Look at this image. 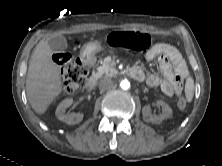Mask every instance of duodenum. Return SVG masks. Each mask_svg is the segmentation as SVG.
Here are the masks:
<instances>
[{
    "label": "duodenum",
    "instance_id": "410a0bca",
    "mask_svg": "<svg viewBox=\"0 0 222 166\" xmlns=\"http://www.w3.org/2000/svg\"><path fill=\"white\" fill-rule=\"evenodd\" d=\"M83 63L85 65H87L88 67H92L94 65V59L91 57V56H84L83 57ZM128 74L134 78V79H137V80H141L143 78V75L141 72H139L138 70H135V69H131L128 71ZM97 81H98V76L96 74H92L88 79H87V82H86V87L87 89L89 90H92L95 88L96 84H97Z\"/></svg>",
    "mask_w": 222,
    "mask_h": 166
}]
</instances>
